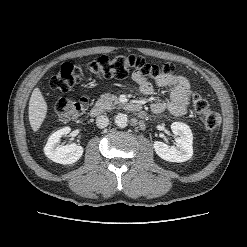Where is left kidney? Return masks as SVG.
I'll return each instance as SVG.
<instances>
[{
	"label": "left kidney",
	"mask_w": 247,
	"mask_h": 247,
	"mask_svg": "<svg viewBox=\"0 0 247 247\" xmlns=\"http://www.w3.org/2000/svg\"><path fill=\"white\" fill-rule=\"evenodd\" d=\"M172 132L178 136L176 146H168L161 141H155L153 147L156 154L163 160L169 162H185L193 155V134L188 125L182 122L171 124Z\"/></svg>",
	"instance_id": "left-kidney-1"
}]
</instances>
